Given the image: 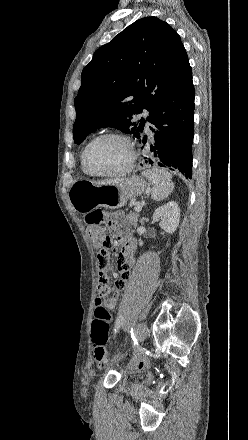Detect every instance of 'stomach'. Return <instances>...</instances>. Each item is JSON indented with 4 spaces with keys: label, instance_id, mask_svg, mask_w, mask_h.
<instances>
[{
    "label": "stomach",
    "instance_id": "obj_1",
    "mask_svg": "<svg viewBox=\"0 0 248 440\" xmlns=\"http://www.w3.org/2000/svg\"><path fill=\"white\" fill-rule=\"evenodd\" d=\"M147 184L139 176H131L120 182L96 184L87 180L75 181L68 198L77 212L87 213L96 207L119 208L132 198L141 195Z\"/></svg>",
    "mask_w": 248,
    "mask_h": 440
}]
</instances>
